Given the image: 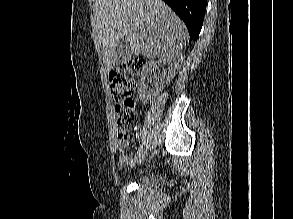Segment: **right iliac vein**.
<instances>
[{"label":"right iliac vein","mask_w":293,"mask_h":219,"mask_svg":"<svg viewBox=\"0 0 293 219\" xmlns=\"http://www.w3.org/2000/svg\"><path fill=\"white\" fill-rule=\"evenodd\" d=\"M147 155V149H142L140 152L137 153L135 156L134 162L132 163L133 166L140 164Z\"/></svg>","instance_id":"63e3f726"}]
</instances>
